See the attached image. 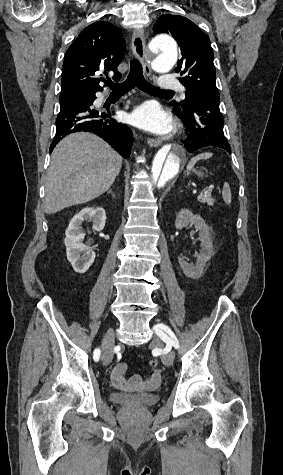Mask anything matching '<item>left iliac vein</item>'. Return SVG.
<instances>
[{
    "label": "left iliac vein",
    "mask_w": 283,
    "mask_h": 475,
    "mask_svg": "<svg viewBox=\"0 0 283 475\" xmlns=\"http://www.w3.org/2000/svg\"><path fill=\"white\" fill-rule=\"evenodd\" d=\"M157 325L154 326L155 332L158 333L157 335H159V337L165 338V339H167L171 342L172 338H169L167 336V334L160 327H158ZM159 337H155L154 340H153V343L156 347H158L160 349H163L164 345L162 343V340ZM161 360L166 366H171L173 364V361H174V352H169L167 354H163L161 356Z\"/></svg>",
    "instance_id": "left-iliac-vein-1"
}]
</instances>
